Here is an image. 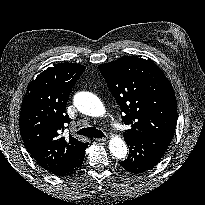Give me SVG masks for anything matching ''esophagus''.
I'll list each match as a JSON object with an SVG mask.
<instances>
[{
	"instance_id": "esophagus-1",
	"label": "esophagus",
	"mask_w": 205,
	"mask_h": 205,
	"mask_svg": "<svg viewBox=\"0 0 205 205\" xmlns=\"http://www.w3.org/2000/svg\"><path fill=\"white\" fill-rule=\"evenodd\" d=\"M95 141H97V142H106L107 138H96Z\"/></svg>"
}]
</instances>
